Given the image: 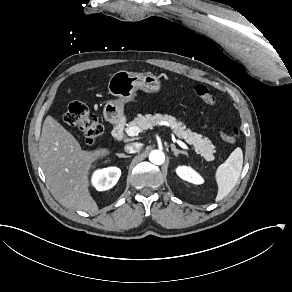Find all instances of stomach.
Here are the masks:
<instances>
[{"label":"stomach","instance_id":"stomach-1","mask_svg":"<svg viewBox=\"0 0 292 292\" xmlns=\"http://www.w3.org/2000/svg\"><path fill=\"white\" fill-rule=\"evenodd\" d=\"M162 89L160 78L151 72H115L108 82V91L117 99L107 101L103 108L104 119L111 124H118L124 117V105L133 102L137 90L156 94Z\"/></svg>","mask_w":292,"mask_h":292}]
</instances>
